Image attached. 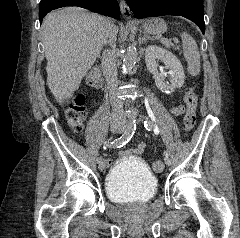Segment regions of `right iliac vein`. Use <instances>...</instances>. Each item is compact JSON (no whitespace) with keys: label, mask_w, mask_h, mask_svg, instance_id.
<instances>
[{"label":"right iliac vein","mask_w":240,"mask_h":238,"mask_svg":"<svg viewBox=\"0 0 240 238\" xmlns=\"http://www.w3.org/2000/svg\"><path fill=\"white\" fill-rule=\"evenodd\" d=\"M123 126L116 120H112L110 122V131L111 133L115 134V133H120L123 131ZM99 169L102 171L105 169L106 167V161L104 159H102L100 162H99Z\"/></svg>","instance_id":"right-iliac-vein-1"}]
</instances>
